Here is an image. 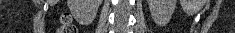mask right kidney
Masks as SVG:
<instances>
[{
  "instance_id": "right-kidney-1",
  "label": "right kidney",
  "mask_w": 235,
  "mask_h": 33,
  "mask_svg": "<svg viewBox=\"0 0 235 33\" xmlns=\"http://www.w3.org/2000/svg\"><path fill=\"white\" fill-rule=\"evenodd\" d=\"M100 0H68L72 15L81 20L92 21L98 11Z\"/></svg>"
}]
</instances>
